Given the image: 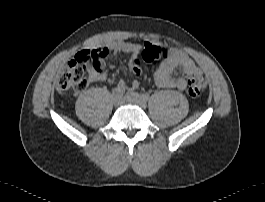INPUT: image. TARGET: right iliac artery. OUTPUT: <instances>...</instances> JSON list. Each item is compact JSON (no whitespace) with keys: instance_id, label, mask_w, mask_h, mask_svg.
Returning a JSON list of instances; mask_svg holds the SVG:
<instances>
[{"instance_id":"82829eb1","label":"right iliac artery","mask_w":265,"mask_h":202,"mask_svg":"<svg viewBox=\"0 0 265 202\" xmlns=\"http://www.w3.org/2000/svg\"><path fill=\"white\" fill-rule=\"evenodd\" d=\"M124 92H125V87L117 86L115 89H113L112 95H113V97L122 96L124 94Z\"/></svg>"}]
</instances>
